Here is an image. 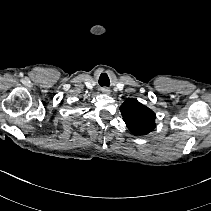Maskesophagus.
<instances>
[{"mask_svg": "<svg viewBox=\"0 0 211 211\" xmlns=\"http://www.w3.org/2000/svg\"><path fill=\"white\" fill-rule=\"evenodd\" d=\"M101 91H102V93H104V94H110V89L107 88V87L102 88Z\"/></svg>", "mask_w": 211, "mask_h": 211, "instance_id": "obj_1", "label": "esophagus"}]
</instances>
